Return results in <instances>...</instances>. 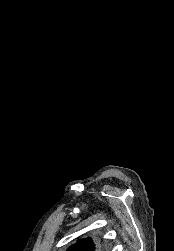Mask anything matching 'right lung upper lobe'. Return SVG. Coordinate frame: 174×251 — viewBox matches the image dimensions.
Returning a JSON list of instances; mask_svg holds the SVG:
<instances>
[{"mask_svg": "<svg viewBox=\"0 0 174 251\" xmlns=\"http://www.w3.org/2000/svg\"><path fill=\"white\" fill-rule=\"evenodd\" d=\"M95 245L91 238L81 239L72 245L67 251H94Z\"/></svg>", "mask_w": 174, "mask_h": 251, "instance_id": "obj_1", "label": "right lung upper lobe"}]
</instances>
